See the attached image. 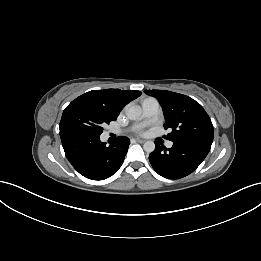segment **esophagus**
<instances>
[{
	"instance_id": "1",
	"label": "esophagus",
	"mask_w": 261,
	"mask_h": 261,
	"mask_svg": "<svg viewBox=\"0 0 261 261\" xmlns=\"http://www.w3.org/2000/svg\"><path fill=\"white\" fill-rule=\"evenodd\" d=\"M135 141L137 142V143H144L145 142V140H143V139H135Z\"/></svg>"
}]
</instances>
